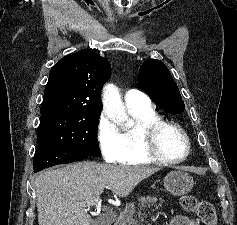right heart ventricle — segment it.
Returning <instances> with one entry per match:
<instances>
[{
	"mask_svg": "<svg viewBox=\"0 0 237 225\" xmlns=\"http://www.w3.org/2000/svg\"><path fill=\"white\" fill-rule=\"evenodd\" d=\"M129 110L136 120V125L123 132L126 151L120 163L125 165L152 163L154 160L147 156L144 151L140 131L144 126L156 120H160V116L152 106L129 108Z\"/></svg>",
	"mask_w": 237,
	"mask_h": 225,
	"instance_id": "obj_1",
	"label": "right heart ventricle"
}]
</instances>
